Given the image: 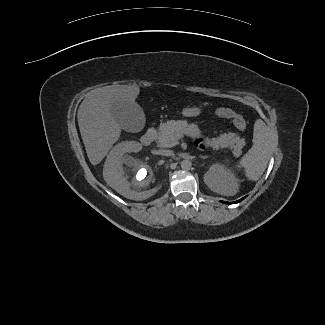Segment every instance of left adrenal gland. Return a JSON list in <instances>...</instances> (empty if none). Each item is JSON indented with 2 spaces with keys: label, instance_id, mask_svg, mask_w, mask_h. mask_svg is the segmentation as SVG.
<instances>
[{
  "label": "left adrenal gland",
  "instance_id": "left-adrenal-gland-1",
  "mask_svg": "<svg viewBox=\"0 0 325 325\" xmlns=\"http://www.w3.org/2000/svg\"><path fill=\"white\" fill-rule=\"evenodd\" d=\"M201 159H205V158H207L208 156H202V155H200L199 156Z\"/></svg>",
  "mask_w": 325,
  "mask_h": 325
}]
</instances>
